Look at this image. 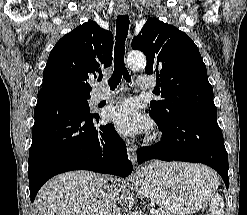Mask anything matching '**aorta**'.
Masks as SVG:
<instances>
[{
	"mask_svg": "<svg viewBox=\"0 0 247 215\" xmlns=\"http://www.w3.org/2000/svg\"><path fill=\"white\" fill-rule=\"evenodd\" d=\"M146 63V57L142 52L132 51L127 56V64L132 69L142 68Z\"/></svg>",
	"mask_w": 247,
	"mask_h": 215,
	"instance_id": "762f6f07",
	"label": "aorta"
}]
</instances>
